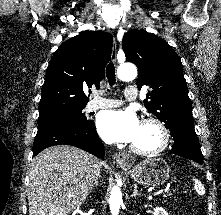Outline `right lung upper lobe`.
Listing matches in <instances>:
<instances>
[{
	"instance_id": "cb5924a9",
	"label": "right lung upper lobe",
	"mask_w": 221,
	"mask_h": 215,
	"mask_svg": "<svg viewBox=\"0 0 221 215\" xmlns=\"http://www.w3.org/2000/svg\"><path fill=\"white\" fill-rule=\"evenodd\" d=\"M112 35L84 31L64 42L47 67L39 103V116L63 113L85 107L89 98L84 91L104 77L110 60Z\"/></svg>"
}]
</instances>
